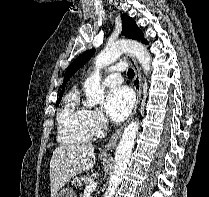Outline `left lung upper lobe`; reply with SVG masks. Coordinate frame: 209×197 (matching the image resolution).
<instances>
[{"label": "left lung upper lobe", "instance_id": "1", "mask_svg": "<svg viewBox=\"0 0 209 197\" xmlns=\"http://www.w3.org/2000/svg\"><path fill=\"white\" fill-rule=\"evenodd\" d=\"M121 19L122 33L126 37L130 39L139 40L145 44H148L147 40L144 39V35L141 32L140 28H138L135 21L131 17L124 14L121 16ZM94 52L95 49L88 50L75 59V61L67 68L65 72L62 87H64L65 83L70 79V77L89 60V58L94 54Z\"/></svg>", "mask_w": 209, "mask_h": 197}]
</instances>
